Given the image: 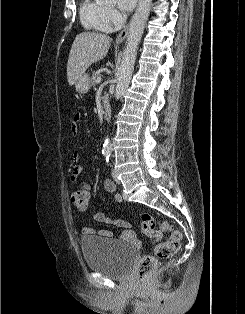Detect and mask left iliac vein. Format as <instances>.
<instances>
[{
    "mask_svg": "<svg viewBox=\"0 0 245 314\" xmlns=\"http://www.w3.org/2000/svg\"><path fill=\"white\" fill-rule=\"evenodd\" d=\"M112 177L116 183H118V184L120 183V180H119L118 175H117L115 170L112 171Z\"/></svg>",
    "mask_w": 245,
    "mask_h": 314,
    "instance_id": "left-iliac-vein-1",
    "label": "left iliac vein"
}]
</instances>
